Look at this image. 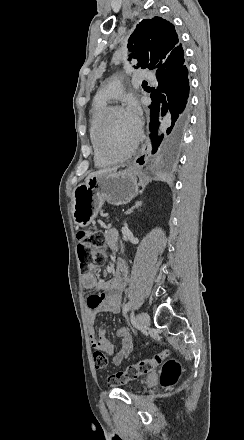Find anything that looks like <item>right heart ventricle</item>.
<instances>
[{
  "instance_id": "right-heart-ventricle-1",
  "label": "right heart ventricle",
  "mask_w": 244,
  "mask_h": 440,
  "mask_svg": "<svg viewBox=\"0 0 244 440\" xmlns=\"http://www.w3.org/2000/svg\"><path fill=\"white\" fill-rule=\"evenodd\" d=\"M107 107L106 102H93L92 105V119L90 124V139L93 148L99 147L98 132H101L97 127L102 122L104 111ZM131 127V126H130ZM134 134V130L131 128V135ZM104 138V137H103ZM105 146L110 149H116V146ZM116 155L109 156V154H101L99 150L95 149V163L100 168H109L116 163Z\"/></svg>"
}]
</instances>
